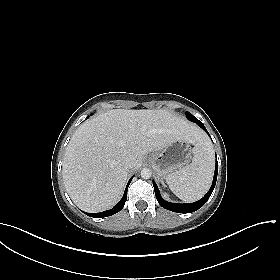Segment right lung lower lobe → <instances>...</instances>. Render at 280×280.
<instances>
[{
	"label": "right lung lower lobe",
	"instance_id": "obj_1",
	"mask_svg": "<svg viewBox=\"0 0 280 280\" xmlns=\"http://www.w3.org/2000/svg\"><path fill=\"white\" fill-rule=\"evenodd\" d=\"M131 180H132V178L129 180V182H128L127 186H126V189H125V192H124V195H123L122 199L112 209L104 211V212H101V213H96V214L95 213H85V214L90 216V217L101 218V217L111 216V215L116 214L117 212H119L124 207V204L126 202L127 190H128L129 184L131 183Z\"/></svg>",
	"mask_w": 280,
	"mask_h": 280
}]
</instances>
